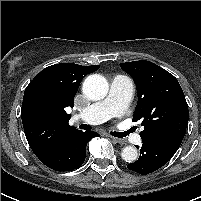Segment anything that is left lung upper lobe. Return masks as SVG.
Masks as SVG:
<instances>
[{"label":"left lung upper lobe","mask_w":201,"mask_h":201,"mask_svg":"<svg viewBox=\"0 0 201 201\" xmlns=\"http://www.w3.org/2000/svg\"><path fill=\"white\" fill-rule=\"evenodd\" d=\"M135 81L138 102L133 121H141L142 139L174 135L184 137L188 105L177 79L150 61L120 63Z\"/></svg>","instance_id":"1"}]
</instances>
